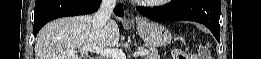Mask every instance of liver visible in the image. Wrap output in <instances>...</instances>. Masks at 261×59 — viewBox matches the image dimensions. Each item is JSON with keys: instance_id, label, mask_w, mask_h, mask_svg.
I'll use <instances>...</instances> for the list:
<instances>
[{"instance_id": "liver-1", "label": "liver", "mask_w": 261, "mask_h": 59, "mask_svg": "<svg viewBox=\"0 0 261 59\" xmlns=\"http://www.w3.org/2000/svg\"><path fill=\"white\" fill-rule=\"evenodd\" d=\"M119 38L115 21H109L103 28H94L92 15L60 18L39 32L35 59H85L77 50L88 45L111 48L118 44Z\"/></svg>"}]
</instances>
